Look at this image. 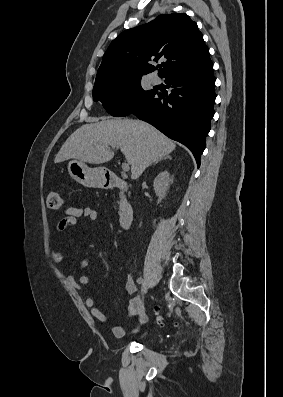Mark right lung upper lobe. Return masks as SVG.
<instances>
[{
  "instance_id": "obj_1",
  "label": "right lung upper lobe",
  "mask_w": 283,
  "mask_h": 397,
  "mask_svg": "<svg viewBox=\"0 0 283 397\" xmlns=\"http://www.w3.org/2000/svg\"><path fill=\"white\" fill-rule=\"evenodd\" d=\"M209 55L197 24L187 14H164L117 36L103 56L95 82L142 77L157 69L150 62L158 60L165 61L159 76L166 77Z\"/></svg>"
}]
</instances>
